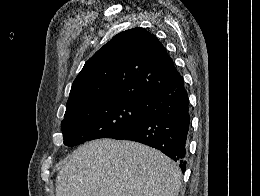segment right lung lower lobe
Returning a JSON list of instances; mask_svg holds the SVG:
<instances>
[{"instance_id": "obj_1", "label": "right lung lower lobe", "mask_w": 260, "mask_h": 196, "mask_svg": "<svg viewBox=\"0 0 260 196\" xmlns=\"http://www.w3.org/2000/svg\"><path fill=\"white\" fill-rule=\"evenodd\" d=\"M147 118L113 137L140 142L162 151L186 170L190 132L189 99L183 78L139 101Z\"/></svg>"}]
</instances>
